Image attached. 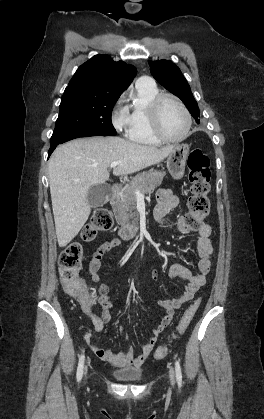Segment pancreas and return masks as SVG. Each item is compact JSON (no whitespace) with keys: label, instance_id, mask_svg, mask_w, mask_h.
<instances>
[{"label":"pancreas","instance_id":"pancreas-1","mask_svg":"<svg viewBox=\"0 0 264 419\" xmlns=\"http://www.w3.org/2000/svg\"><path fill=\"white\" fill-rule=\"evenodd\" d=\"M165 175V171L151 169L137 174L129 184L122 188L116 204L113 205V212L121 226H130L137 221L136 191L144 197L146 193L153 192L161 185Z\"/></svg>","mask_w":264,"mask_h":419}]
</instances>
